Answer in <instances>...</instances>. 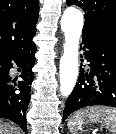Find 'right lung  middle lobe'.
<instances>
[{
	"label": "right lung middle lobe",
	"mask_w": 116,
	"mask_h": 134,
	"mask_svg": "<svg viewBox=\"0 0 116 134\" xmlns=\"http://www.w3.org/2000/svg\"><path fill=\"white\" fill-rule=\"evenodd\" d=\"M4 65L2 63H0V76L4 74Z\"/></svg>",
	"instance_id": "1"
}]
</instances>
